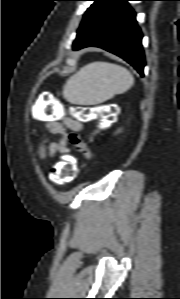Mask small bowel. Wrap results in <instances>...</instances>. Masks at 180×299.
Segmentation results:
<instances>
[{
    "label": "small bowel",
    "instance_id": "small-bowel-1",
    "mask_svg": "<svg viewBox=\"0 0 180 299\" xmlns=\"http://www.w3.org/2000/svg\"><path fill=\"white\" fill-rule=\"evenodd\" d=\"M47 129L57 138L43 142L39 147V157L48 159L57 153L69 154L74 150L80 151L86 158L91 157L90 150L76 136L82 130V124L78 120L63 116L59 119H51L46 123ZM67 130L72 133L68 134ZM69 143L72 145L68 146Z\"/></svg>",
    "mask_w": 180,
    "mask_h": 299
}]
</instances>
